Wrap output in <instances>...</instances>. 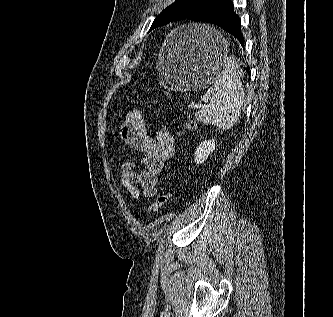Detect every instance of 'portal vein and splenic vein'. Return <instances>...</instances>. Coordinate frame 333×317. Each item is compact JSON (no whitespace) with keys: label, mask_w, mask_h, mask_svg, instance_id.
I'll list each match as a JSON object with an SVG mask.
<instances>
[{"label":"portal vein and splenic vein","mask_w":333,"mask_h":317,"mask_svg":"<svg viewBox=\"0 0 333 317\" xmlns=\"http://www.w3.org/2000/svg\"><path fill=\"white\" fill-rule=\"evenodd\" d=\"M199 107H201V105L190 104V105L188 106V108H190V109H195V108H199Z\"/></svg>","instance_id":"1"}]
</instances>
